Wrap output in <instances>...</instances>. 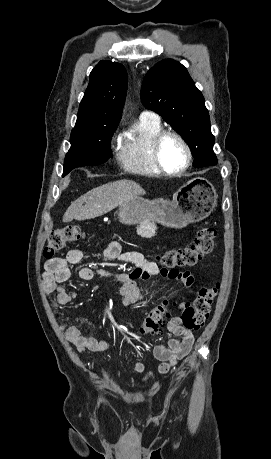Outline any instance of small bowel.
<instances>
[{
    "label": "small bowel",
    "mask_w": 271,
    "mask_h": 459,
    "mask_svg": "<svg viewBox=\"0 0 271 459\" xmlns=\"http://www.w3.org/2000/svg\"><path fill=\"white\" fill-rule=\"evenodd\" d=\"M87 254L84 249H72L64 258H52L45 264L42 276V284L47 294L56 293L58 304H70L78 298L77 291H67L62 284L66 282L72 274L71 266L79 263ZM102 255L107 260H119L130 263L135 268L128 273L115 275L116 280L121 284L119 293L122 297V304L130 306L137 303L142 295L136 285L138 279H149L160 275L165 279L178 281L183 286L195 291V279L189 271L172 270L159 268L156 263L146 259L141 253L121 252L120 244L117 241L109 242L102 250ZM77 276L82 280H90L95 274L110 275L102 269H92L88 266H80L77 269ZM198 294V292H196ZM185 303H181L179 308H184ZM168 330L175 335L166 344H158L153 349L154 357L160 361L158 372L164 374L175 366L180 360L185 358L191 351L194 343V335L191 329L186 328L181 317H172L167 323ZM65 337L75 345L79 352L89 350L92 352L107 351L115 346L112 340L96 339L86 337L76 327L61 328ZM136 373L144 374V380L153 375L146 372L144 365L137 363L134 367Z\"/></svg>",
    "instance_id": "obj_1"
}]
</instances>
